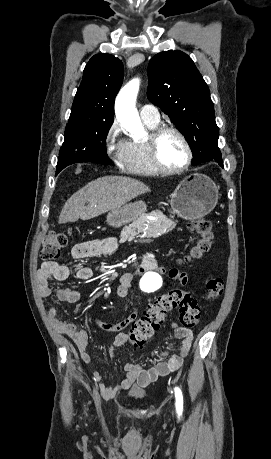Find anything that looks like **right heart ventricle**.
<instances>
[{
  "label": "right heart ventricle",
  "instance_id": "e07e8e85",
  "mask_svg": "<svg viewBox=\"0 0 271 459\" xmlns=\"http://www.w3.org/2000/svg\"><path fill=\"white\" fill-rule=\"evenodd\" d=\"M144 123L151 130L158 127V124H153L148 121H144ZM122 167L129 173L139 175H152L159 172L152 161L148 139H134L128 142Z\"/></svg>",
  "mask_w": 271,
  "mask_h": 459
}]
</instances>
